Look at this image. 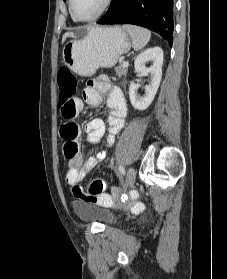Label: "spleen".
Segmentation results:
<instances>
[{"mask_svg":"<svg viewBox=\"0 0 227 279\" xmlns=\"http://www.w3.org/2000/svg\"><path fill=\"white\" fill-rule=\"evenodd\" d=\"M122 28L130 35L135 51L144 48L150 40L151 32L147 29L134 25H123Z\"/></svg>","mask_w":227,"mask_h":279,"instance_id":"spleen-1","label":"spleen"}]
</instances>
